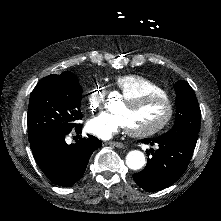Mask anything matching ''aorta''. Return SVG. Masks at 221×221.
I'll return each mask as SVG.
<instances>
[{
  "label": "aorta",
  "instance_id": "aorta-1",
  "mask_svg": "<svg viewBox=\"0 0 221 221\" xmlns=\"http://www.w3.org/2000/svg\"><path fill=\"white\" fill-rule=\"evenodd\" d=\"M126 164L132 170H139L145 165V156L139 150H132L126 156Z\"/></svg>",
  "mask_w": 221,
  "mask_h": 221
}]
</instances>
